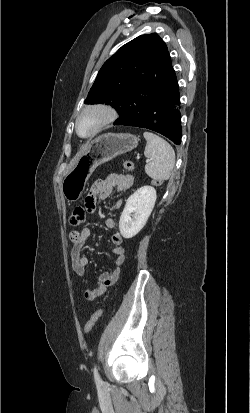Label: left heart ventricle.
<instances>
[{
  "label": "left heart ventricle",
  "mask_w": 250,
  "mask_h": 413,
  "mask_svg": "<svg viewBox=\"0 0 250 413\" xmlns=\"http://www.w3.org/2000/svg\"><path fill=\"white\" fill-rule=\"evenodd\" d=\"M99 121V116L94 113L86 114L79 123V131L82 135L89 134Z\"/></svg>",
  "instance_id": "1"
}]
</instances>
